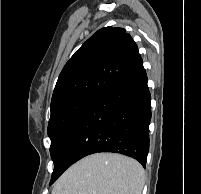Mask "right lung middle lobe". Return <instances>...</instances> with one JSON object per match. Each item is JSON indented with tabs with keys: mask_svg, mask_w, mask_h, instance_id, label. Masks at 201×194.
I'll return each mask as SVG.
<instances>
[{
	"mask_svg": "<svg viewBox=\"0 0 201 194\" xmlns=\"http://www.w3.org/2000/svg\"><path fill=\"white\" fill-rule=\"evenodd\" d=\"M98 96L99 95H85L72 98L51 108V116L48 123V136L51 139L50 154L52 158L59 141L69 124L93 103ZM55 175L56 165L54 164L52 179Z\"/></svg>",
	"mask_w": 201,
	"mask_h": 194,
	"instance_id": "obj_1",
	"label": "right lung middle lobe"
}]
</instances>
